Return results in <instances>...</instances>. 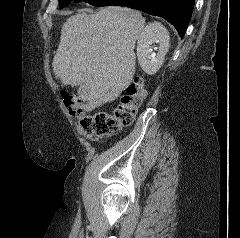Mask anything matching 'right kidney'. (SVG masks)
I'll list each match as a JSON object with an SVG mask.
<instances>
[{"instance_id":"ca27d5eb","label":"right kidney","mask_w":240,"mask_h":238,"mask_svg":"<svg viewBox=\"0 0 240 238\" xmlns=\"http://www.w3.org/2000/svg\"><path fill=\"white\" fill-rule=\"evenodd\" d=\"M169 33L159 22H152L142 30L137 42V57L140 67L148 75H154L163 64L169 50ZM158 44L157 54L153 44Z\"/></svg>"}]
</instances>
